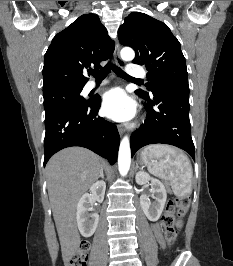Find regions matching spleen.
I'll return each instance as SVG.
<instances>
[{"label": "spleen", "mask_w": 233, "mask_h": 266, "mask_svg": "<svg viewBox=\"0 0 233 266\" xmlns=\"http://www.w3.org/2000/svg\"><path fill=\"white\" fill-rule=\"evenodd\" d=\"M146 159L150 156L152 164L148 165L149 171L165 180L176 196L184 197L192 191L193 170L188 157L179 149L169 145H149L141 152Z\"/></svg>", "instance_id": "obj_1"}]
</instances>
